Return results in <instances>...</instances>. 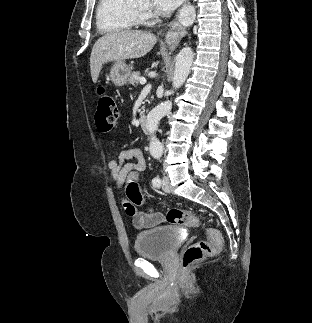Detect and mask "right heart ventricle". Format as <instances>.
Listing matches in <instances>:
<instances>
[{"mask_svg": "<svg viewBox=\"0 0 312 323\" xmlns=\"http://www.w3.org/2000/svg\"><path fill=\"white\" fill-rule=\"evenodd\" d=\"M145 19L144 13H138L124 0H98L94 5V25L104 33H113L114 29H131V25H140Z\"/></svg>", "mask_w": 312, "mask_h": 323, "instance_id": "e07e8e85", "label": "right heart ventricle"}]
</instances>
